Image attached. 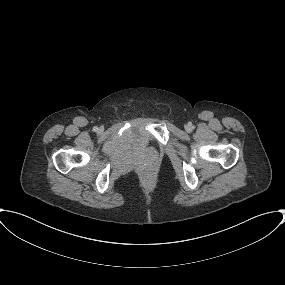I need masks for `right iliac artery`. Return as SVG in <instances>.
I'll return each instance as SVG.
<instances>
[{
    "mask_svg": "<svg viewBox=\"0 0 285 285\" xmlns=\"http://www.w3.org/2000/svg\"><path fill=\"white\" fill-rule=\"evenodd\" d=\"M93 131L97 132L98 131V127L97 126L93 127Z\"/></svg>",
    "mask_w": 285,
    "mask_h": 285,
    "instance_id": "obj_1",
    "label": "right iliac artery"
}]
</instances>
